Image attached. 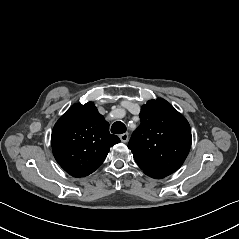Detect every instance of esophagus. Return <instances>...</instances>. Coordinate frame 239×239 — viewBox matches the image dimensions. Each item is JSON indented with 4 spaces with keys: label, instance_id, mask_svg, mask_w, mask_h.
Returning a JSON list of instances; mask_svg holds the SVG:
<instances>
[{
    "label": "esophagus",
    "instance_id": "esophagus-1",
    "mask_svg": "<svg viewBox=\"0 0 239 239\" xmlns=\"http://www.w3.org/2000/svg\"><path fill=\"white\" fill-rule=\"evenodd\" d=\"M129 134L128 133H123L119 135V138L122 142H127L128 141Z\"/></svg>",
    "mask_w": 239,
    "mask_h": 239
}]
</instances>
